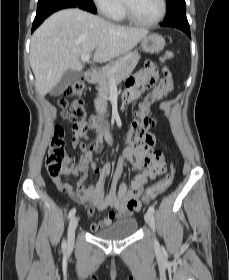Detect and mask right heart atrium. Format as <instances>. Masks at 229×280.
Returning <instances> with one entry per match:
<instances>
[{
	"mask_svg": "<svg viewBox=\"0 0 229 280\" xmlns=\"http://www.w3.org/2000/svg\"><path fill=\"white\" fill-rule=\"evenodd\" d=\"M93 3L103 16L111 18L120 7L121 0H93Z\"/></svg>",
	"mask_w": 229,
	"mask_h": 280,
	"instance_id": "d8ad5b80",
	"label": "right heart atrium"
}]
</instances>
